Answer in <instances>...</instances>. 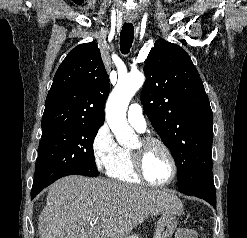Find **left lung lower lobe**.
Wrapping results in <instances>:
<instances>
[{
	"instance_id": "obj_1",
	"label": "left lung lower lobe",
	"mask_w": 247,
	"mask_h": 238,
	"mask_svg": "<svg viewBox=\"0 0 247 238\" xmlns=\"http://www.w3.org/2000/svg\"><path fill=\"white\" fill-rule=\"evenodd\" d=\"M187 195H194L196 197L202 198L212 206H216V192L214 182L203 183L194 190L189 191Z\"/></svg>"
}]
</instances>
